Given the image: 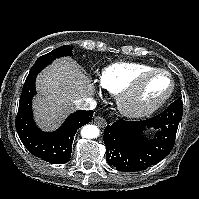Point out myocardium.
<instances>
[{
    "label": "myocardium",
    "instance_id": "f54148a6",
    "mask_svg": "<svg viewBox=\"0 0 199 199\" xmlns=\"http://www.w3.org/2000/svg\"><path fill=\"white\" fill-rule=\"evenodd\" d=\"M165 75L170 80L169 91L159 100L151 104L138 102V95L145 82L154 75ZM176 82L172 74L159 68H153L138 74L132 82L119 94L118 105L121 112L130 118H141L150 115L161 108L173 95Z\"/></svg>",
    "mask_w": 199,
    "mask_h": 199
}]
</instances>
